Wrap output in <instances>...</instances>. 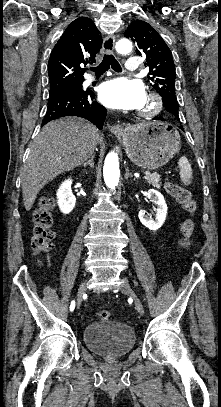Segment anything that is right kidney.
<instances>
[{
	"instance_id": "1",
	"label": "right kidney",
	"mask_w": 221,
	"mask_h": 407,
	"mask_svg": "<svg viewBox=\"0 0 221 407\" xmlns=\"http://www.w3.org/2000/svg\"><path fill=\"white\" fill-rule=\"evenodd\" d=\"M72 180H65L57 191L58 206L63 214H69L75 207L76 197L71 190Z\"/></svg>"
}]
</instances>
